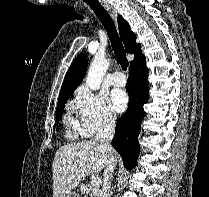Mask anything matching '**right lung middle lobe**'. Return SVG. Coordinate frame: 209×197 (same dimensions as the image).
I'll return each mask as SVG.
<instances>
[{
    "label": "right lung middle lobe",
    "instance_id": "right-lung-middle-lobe-1",
    "mask_svg": "<svg viewBox=\"0 0 209 197\" xmlns=\"http://www.w3.org/2000/svg\"><path fill=\"white\" fill-rule=\"evenodd\" d=\"M73 92L69 93L66 97L58 100V103H57V109H56V118L57 119H61V116H62V113H63V110H64V107H65V103L69 97V95H71Z\"/></svg>",
    "mask_w": 209,
    "mask_h": 197
}]
</instances>
